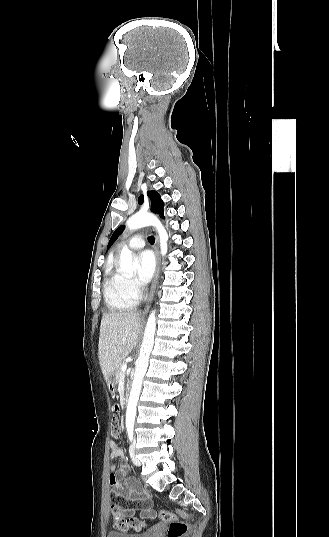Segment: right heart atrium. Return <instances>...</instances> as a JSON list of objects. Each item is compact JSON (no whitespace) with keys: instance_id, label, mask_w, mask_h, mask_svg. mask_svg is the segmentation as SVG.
<instances>
[{"instance_id":"d8ad5b80","label":"right heart atrium","mask_w":329,"mask_h":537,"mask_svg":"<svg viewBox=\"0 0 329 537\" xmlns=\"http://www.w3.org/2000/svg\"><path fill=\"white\" fill-rule=\"evenodd\" d=\"M125 288L128 294L135 300H138L140 296V287L135 280L131 278H125Z\"/></svg>"}]
</instances>
